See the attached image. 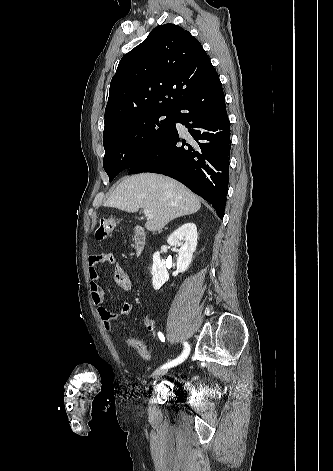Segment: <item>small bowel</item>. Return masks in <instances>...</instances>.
Segmentation results:
<instances>
[{"label":"small bowel","mask_w":333,"mask_h":471,"mask_svg":"<svg viewBox=\"0 0 333 471\" xmlns=\"http://www.w3.org/2000/svg\"><path fill=\"white\" fill-rule=\"evenodd\" d=\"M101 265H114L113 279L117 285L124 291L128 292L132 288V280L130 274L117 259L112 252L99 253L89 256L88 258V275L90 281V293L94 305L97 307L98 315L102 321L104 328L110 331L113 327V321L126 317L132 308L129 301H125L119 312H111L104 304V291L99 284L101 278L98 270Z\"/></svg>","instance_id":"1"}]
</instances>
